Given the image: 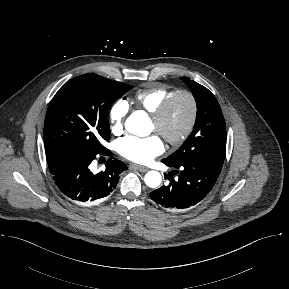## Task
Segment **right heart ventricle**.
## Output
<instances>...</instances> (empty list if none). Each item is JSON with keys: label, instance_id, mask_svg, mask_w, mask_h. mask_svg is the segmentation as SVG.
<instances>
[{"label": "right heart ventricle", "instance_id": "obj_1", "mask_svg": "<svg viewBox=\"0 0 289 289\" xmlns=\"http://www.w3.org/2000/svg\"><path fill=\"white\" fill-rule=\"evenodd\" d=\"M177 89L166 84H150L134 95V102L140 109L152 114Z\"/></svg>", "mask_w": 289, "mask_h": 289}]
</instances>
